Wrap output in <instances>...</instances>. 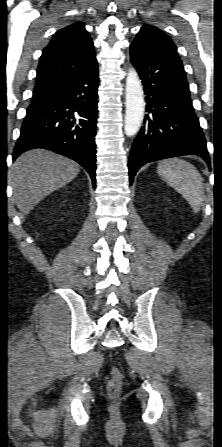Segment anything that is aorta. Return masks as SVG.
Segmentation results:
<instances>
[{
    "label": "aorta",
    "instance_id": "aorta-1",
    "mask_svg": "<svg viewBox=\"0 0 222 447\" xmlns=\"http://www.w3.org/2000/svg\"><path fill=\"white\" fill-rule=\"evenodd\" d=\"M125 104L124 131L127 136H133L141 127L145 111L143 87L134 68L130 69L127 75Z\"/></svg>",
    "mask_w": 222,
    "mask_h": 447
}]
</instances>
